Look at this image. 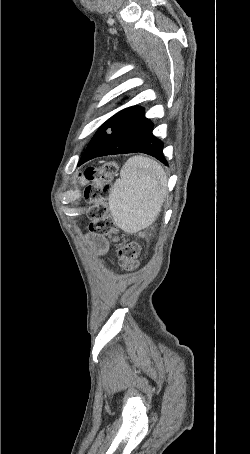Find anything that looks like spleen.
<instances>
[{"label":"spleen","instance_id":"spleen-1","mask_svg":"<svg viewBox=\"0 0 250 454\" xmlns=\"http://www.w3.org/2000/svg\"><path fill=\"white\" fill-rule=\"evenodd\" d=\"M167 178L154 160L134 156L127 160L109 194L115 224L127 233L149 227L161 211Z\"/></svg>","mask_w":250,"mask_h":454}]
</instances>
